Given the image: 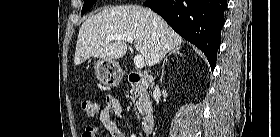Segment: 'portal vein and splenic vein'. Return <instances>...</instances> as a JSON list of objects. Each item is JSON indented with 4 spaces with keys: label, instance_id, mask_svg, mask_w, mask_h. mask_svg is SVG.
I'll return each instance as SVG.
<instances>
[{
    "label": "portal vein and splenic vein",
    "instance_id": "1",
    "mask_svg": "<svg viewBox=\"0 0 280 137\" xmlns=\"http://www.w3.org/2000/svg\"><path fill=\"white\" fill-rule=\"evenodd\" d=\"M113 40H124L127 41L128 43H133V38L128 35H112L106 38V41H113ZM134 64L139 69L143 68L145 65L143 56L140 54L136 55L134 57Z\"/></svg>",
    "mask_w": 280,
    "mask_h": 137
}]
</instances>
